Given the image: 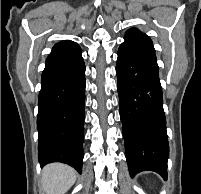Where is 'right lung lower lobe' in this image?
Returning a JSON list of instances; mask_svg holds the SVG:
<instances>
[{"instance_id":"right-lung-lower-lobe-1","label":"right lung lower lobe","mask_w":201,"mask_h":194,"mask_svg":"<svg viewBox=\"0 0 201 194\" xmlns=\"http://www.w3.org/2000/svg\"><path fill=\"white\" fill-rule=\"evenodd\" d=\"M85 65L83 58L45 66L38 99V159L82 171Z\"/></svg>"}]
</instances>
